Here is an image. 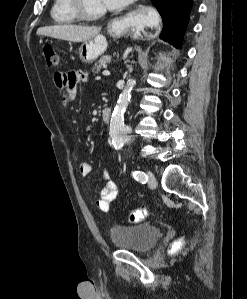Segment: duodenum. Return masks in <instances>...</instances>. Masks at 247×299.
<instances>
[{"label":"duodenum","mask_w":247,"mask_h":299,"mask_svg":"<svg viewBox=\"0 0 247 299\" xmlns=\"http://www.w3.org/2000/svg\"><path fill=\"white\" fill-rule=\"evenodd\" d=\"M111 114H112V110L110 108H105L102 111V120L106 123L109 122L111 119Z\"/></svg>","instance_id":"410a0bca"}]
</instances>
